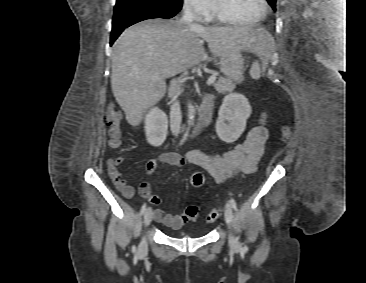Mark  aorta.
<instances>
[{
    "label": "aorta",
    "instance_id": "762f6f07",
    "mask_svg": "<svg viewBox=\"0 0 366 283\" xmlns=\"http://www.w3.org/2000/svg\"><path fill=\"white\" fill-rule=\"evenodd\" d=\"M196 109L191 103L188 104V122L193 124L195 118Z\"/></svg>",
    "mask_w": 366,
    "mask_h": 283
}]
</instances>
